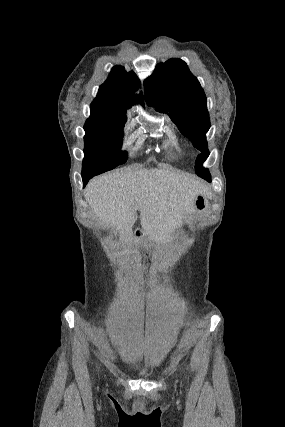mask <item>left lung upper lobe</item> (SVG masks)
<instances>
[{
	"instance_id": "5c2ea615",
	"label": "left lung upper lobe",
	"mask_w": 285,
	"mask_h": 427,
	"mask_svg": "<svg viewBox=\"0 0 285 427\" xmlns=\"http://www.w3.org/2000/svg\"><path fill=\"white\" fill-rule=\"evenodd\" d=\"M144 90L147 105L160 113H168L181 133L201 152L195 161V171L210 182L208 169L202 167L209 156L205 136L210 128L207 99L187 64L177 58L159 63L144 81Z\"/></svg>"
}]
</instances>
